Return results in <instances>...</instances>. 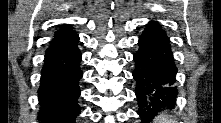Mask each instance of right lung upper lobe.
<instances>
[{
    "mask_svg": "<svg viewBox=\"0 0 221 123\" xmlns=\"http://www.w3.org/2000/svg\"><path fill=\"white\" fill-rule=\"evenodd\" d=\"M76 32L74 30H72V28H70L69 25H64L62 29L57 30L55 32V37H63V36H67V35H71V34H75Z\"/></svg>",
    "mask_w": 221,
    "mask_h": 123,
    "instance_id": "1",
    "label": "right lung upper lobe"
}]
</instances>
